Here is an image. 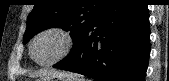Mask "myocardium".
Listing matches in <instances>:
<instances>
[{
  "mask_svg": "<svg viewBox=\"0 0 169 81\" xmlns=\"http://www.w3.org/2000/svg\"><path fill=\"white\" fill-rule=\"evenodd\" d=\"M48 33H54V34L61 36L65 41V47L62 53L55 60L47 62V63H40L34 58V54H33L34 44L39 37H41L42 35L48 34ZM74 44H75L74 37L69 30L62 28V27H57V26L49 27V28H46L40 31L38 34L35 35V37L32 39L31 44H30L29 53L34 63H36L40 67L48 68V67L54 66L55 64L65 59L73 50Z\"/></svg>",
  "mask_w": 169,
  "mask_h": 81,
  "instance_id": "obj_1",
  "label": "myocardium"
}]
</instances>
